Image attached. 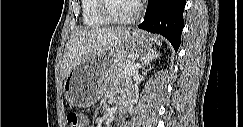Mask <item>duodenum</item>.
I'll return each instance as SVG.
<instances>
[{
  "mask_svg": "<svg viewBox=\"0 0 243 127\" xmlns=\"http://www.w3.org/2000/svg\"><path fill=\"white\" fill-rule=\"evenodd\" d=\"M130 102V96L129 95H123L120 101V105H119V111L120 112H125L128 105Z\"/></svg>",
  "mask_w": 243,
  "mask_h": 127,
  "instance_id": "410a0bca",
  "label": "duodenum"
}]
</instances>
